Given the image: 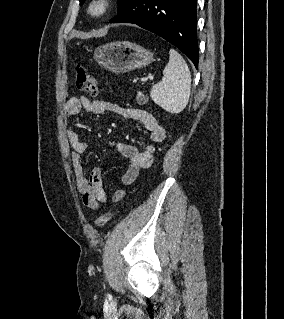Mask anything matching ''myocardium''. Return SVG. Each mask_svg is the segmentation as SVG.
I'll list each match as a JSON object with an SVG mask.
<instances>
[{
  "label": "myocardium",
  "mask_w": 284,
  "mask_h": 319,
  "mask_svg": "<svg viewBox=\"0 0 284 319\" xmlns=\"http://www.w3.org/2000/svg\"><path fill=\"white\" fill-rule=\"evenodd\" d=\"M112 3V0H90L86 9L87 14L92 19H102L108 15Z\"/></svg>",
  "instance_id": "1"
}]
</instances>
